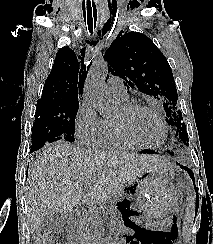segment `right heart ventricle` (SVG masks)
<instances>
[{
  "instance_id": "obj_1",
  "label": "right heart ventricle",
  "mask_w": 213,
  "mask_h": 244,
  "mask_svg": "<svg viewBox=\"0 0 213 244\" xmlns=\"http://www.w3.org/2000/svg\"><path fill=\"white\" fill-rule=\"evenodd\" d=\"M100 146L110 150H129L135 147L124 142L116 133L113 122L106 121V126L102 138L99 143Z\"/></svg>"
}]
</instances>
